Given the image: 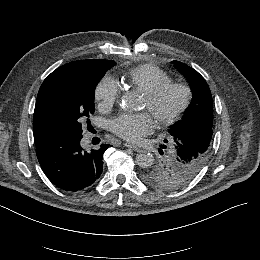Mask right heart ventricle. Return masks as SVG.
<instances>
[{
    "label": "right heart ventricle",
    "instance_id": "1",
    "mask_svg": "<svg viewBox=\"0 0 260 260\" xmlns=\"http://www.w3.org/2000/svg\"><path fill=\"white\" fill-rule=\"evenodd\" d=\"M125 83L140 90L143 95L160 85L171 81V77L157 67L142 65L130 70L124 77Z\"/></svg>",
    "mask_w": 260,
    "mask_h": 260
}]
</instances>
